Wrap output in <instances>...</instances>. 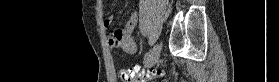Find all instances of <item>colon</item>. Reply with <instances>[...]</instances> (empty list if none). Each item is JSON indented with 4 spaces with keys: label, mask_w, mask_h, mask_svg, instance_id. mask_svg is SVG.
Returning a JSON list of instances; mask_svg holds the SVG:
<instances>
[{
    "label": "colon",
    "mask_w": 279,
    "mask_h": 82,
    "mask_svg": "<svg viewBox=\"0 0 279 82\" xmlns=\"http://www.w3.org/2000/svg\"><path fill=\"white\" fill-rule=\"evenodd\" d=\"M120 78L122 82H146L160 75V71L137 72L134 68H121Z\"/></svg>",
    "instance_id": "obj_1"
}]
</instances>
